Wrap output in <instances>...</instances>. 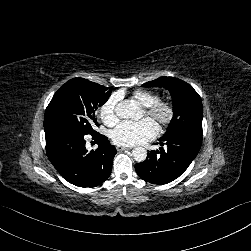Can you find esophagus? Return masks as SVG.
I'll list each match as a JSON object with an SVG mask.
<instances>
[{"label":"esophagus","instance_id":"esophagus-1","mask_svg":"<svg viewBox=\"0 0 251 251\" xmlns=\"http://www.w3.org/2000/svg\"><path fill=\"white\" fill-rule=\"evenodd\" d=\"M116 149H117V151L120 152V151H123V150H127L128 148L123 147V146H117Z\"/></svg>","mask_w":251,"mask_h":251}]
</instances>
